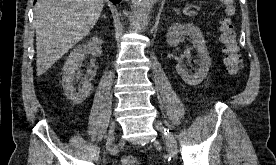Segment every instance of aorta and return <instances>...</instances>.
Wrapping results in <instances>:
<instances>
[{
	"label": "aorta",
	"instance_id": "762f6f07",
	"mask_svg": "<svg viewBox=\"0 0 276 165\" xmlns=\"http://www.w3.org/2000/svg\"><path fill=\"white\" fill-rule=\"evenodd\" d=\"M157 0H132L131 13L133 17V27L143 30L149 21V16L153 5Z\"/></svg>",
	"mask_w": 276,
	"mask_h": 165
}]
</instances>
